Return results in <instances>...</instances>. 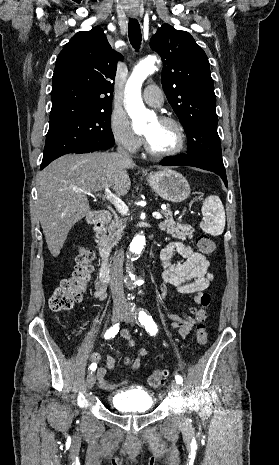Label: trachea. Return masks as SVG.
<instances>
[{
	"label": "trachea",
	"instance_id": "obj_1",
	"mask_svg": "<svg viewBox=\"0 0 279 465\" xmlns=\"http://www.w3.org/2000/svg\"><path fill=\"white\" fill-rule=\"evenodd\" d=\"M128 36H129L131 45L135 49H139L141 45L142 34H141L140 25L136 19L129 20Z\"/></svg>",
	"mask_w": 279,
	"mask_h": 465
}]
</instances>
